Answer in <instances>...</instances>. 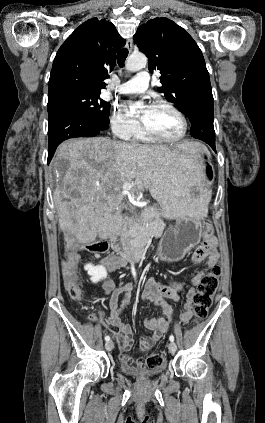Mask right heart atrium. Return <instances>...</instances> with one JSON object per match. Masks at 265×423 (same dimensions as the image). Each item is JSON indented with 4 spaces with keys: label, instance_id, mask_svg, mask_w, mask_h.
Listing matches in <instances>:
<instances>
[{
    "label": "right heart atrium",
    "instance_id": "1",
    "mask_svg": "<svg viewBox=\"0 0 265 423\" xmlns=\"http://www.w3.org/2000/svg\"><path fill=\"white\" fill-rule=\"evenodd\" d=\"M111 128L116 136L124 140L133 139L140 131L139 123L115 107L110 117Z\"/></svg>",
    "mask_w": 265,
    "mask_h": 423
}]
</instances>
